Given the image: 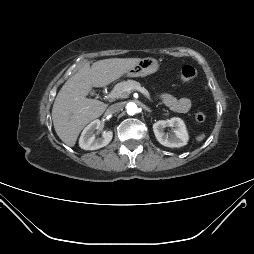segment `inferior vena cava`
<instances>
[{
	"label": "inferior vena cava",
	"instance_id": "obj_1",
	"mask_svg": "<svg viewBox=\"0 0 254 254\" xmlns=\"http://www.w3.org/2000/svg\"><path fill=\"white\" fill-rule=\"evenodd\" d=\"M122 108H123V106L121 103H115V104H112L111 106L108 107L107 112L109 114H114V113L121 111Z\"/></svg>",
	"mask_w": 254,
	"mask_h": 254
}]
</instances>
